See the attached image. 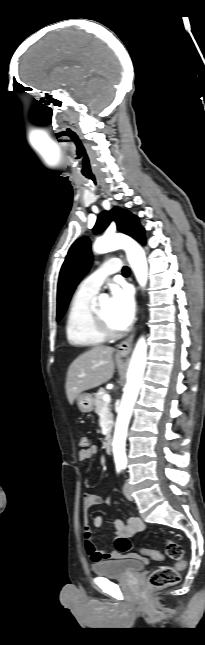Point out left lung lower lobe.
I'll use <instances>...</instances> for the list:
<instances>
[{
  "instance_id": "1",
  "label": "left lung lower lobe",
  "mask_w": 205,
  "mask_h": 645,
  "mask_svg": "<svg viewBox=\"0 0 205 645\" xmlns=\"http://www.w3.org/2000/svg\"><path fill=\"white\" fill-rule=\"evenodd\" d=\"M140 243L145 244V239L143 238Z\"/></svg>"
}]
</instances>
